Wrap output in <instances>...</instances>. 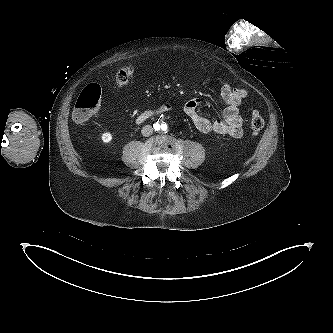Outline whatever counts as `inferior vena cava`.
<instances>
[{
  "label": "inferior vena cava",
  "instance_id": "inferior-vena-cava-1",
  "mask_svg": "<svg viewBox=\"0 0 333 333\" xmlns=\"http://www.w3.org/2000/svg\"><path fill=\"white\" fill-rule=\"evenodd\" d=\"M141 133H142V135L145 136V137L150 136V135L153 133V128H152V126H150V125H145V126L142 128Z\"/></svg>",
  "mask_w": 333,
  "mask_h": 333
}]
</instances>
